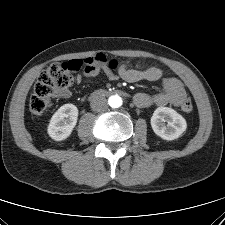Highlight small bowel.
<instances>
[{"label": "small bowel", "mask_w": 225, "mask_h": 225, "mask_svg": "<svg viewBox=\"0 0 225 225\" xmlns=\"http://www.w3.org/2000/svg\"><path fill=\"white\" fill-rule=\"evenodd\" d=\"M115 67H117V71L113 70L106 57L101 54L98 62L90 70H85L83 74L77 76V81L81 82L84 77H95L103 74L111 81L121 78L133 83L141 80L156 81L163 75V70L158 67H150L142 70V64L140 62L136 65V68H132L127 63L116 64ZM59 95L62 98H69L71 92L69 90H63ZM186 97V90L182 81L176 77H167L162 80V90L160 92L152 95L139 92L134 96V102L140 108H147L152 105L164 106L167 104L180 106Z\"/></svg>", "instance_id": "small-bowel-1"}]
</instances>
